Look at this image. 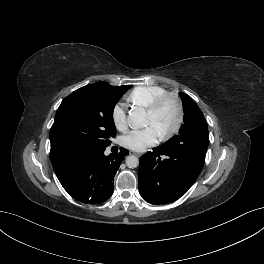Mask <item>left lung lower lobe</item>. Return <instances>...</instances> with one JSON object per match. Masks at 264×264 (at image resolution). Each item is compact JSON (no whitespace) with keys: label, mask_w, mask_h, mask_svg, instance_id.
<instances>
[{"label":"left lung lower lobe","mask_w":264,"mask_h":264,"mask_svg":"<svg viewBox=\"0 0 264 264\" xmlns=\"http://www.w3.org/2000/svg\"><path fill=\"white\" fill-rule=\"evenodd\" d=\"M209 144L208 131L180 145H160L140 159L141 196L154 205L173 202L185 194L202 170Z\"/></svg>","instance_id":"left-lung-lower-lobe-1"}]
</instances>
